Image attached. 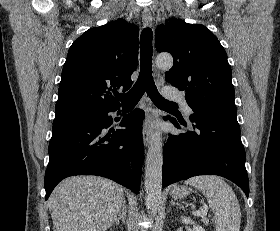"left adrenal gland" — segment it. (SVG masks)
<instances>
[{
	"mask_svg": "<svg viewBox=\"0 0 280 231\" xmlns=\"http://www.w3.org/2000/svg\"><path fill=\"white\" fill-rule=\"evenodd\" d=\"M171 203H172V205H180V207H184V205H182V203H178V201H175V199H171Z\"/></svg>",
	"mask_w": 280,
	"mask_h": 231,
	"instance_id": "a2214340",
	"label": "left adrenal gland"
}]
</instances>
